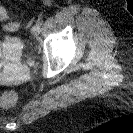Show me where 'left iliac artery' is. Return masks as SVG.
<instances>
[{"label": "left iliac artery", "instance_id": "obj_1", "mask_svg": "<svg viewBox=\"0 0 133 133\" xmlns=\"http://www.w3.org/2000/svg\"><path fill=\"white\" fill-rule=\"evenodd\" d=\"M42 23H43V19H38L37 22H36V24H38L40 26L42 25Z\"/></svg>", "mask_w": 133, "mask_h": 133}]
</instances>
